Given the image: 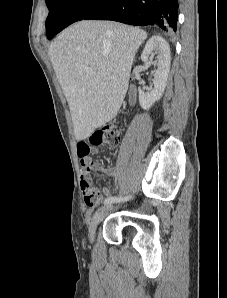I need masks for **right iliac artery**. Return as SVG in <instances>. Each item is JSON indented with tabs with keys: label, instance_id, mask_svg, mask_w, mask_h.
<instances>
[{
	"label": "right iliac artery",
	"instance_id": "right-iliac-artery-1",
	"mask_svg": "<svg viewBox=\"0 0 227 298\" xmlns=\"http://www.w3.org/2000/svg\"><path fill=\"white\" fill-rule=\"evenodd\" d=\"M129 198H131V196H127V197H116V196H111L108 197L107 199H105L104 204H111V203H115V202H120V201H124V200H128Z\"/></svg>",
	"mask_w": 227,
	"mask_h": 298
}]
</instances>
